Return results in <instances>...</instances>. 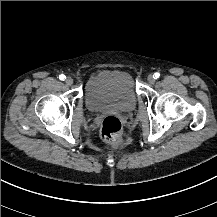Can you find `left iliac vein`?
<instances>
[{"label": "left iliac vein", "instance_id": "1", "mask_svg": "<svg viewBox=\"0 0 217 217\" xmlns=\"http://www.w3.org/2000/svg\"><path fill=\"white\" fill-rule=\"evenodd\" d=\"M147 81H148L149 84H154V83H155V78H154V76H153V75H149V76L147 77Z\"/></svg>", "mask_w": 217, "mask_h": 217}]
</instances>
